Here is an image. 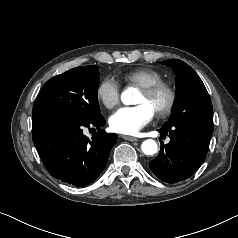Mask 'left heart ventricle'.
<instances>
[{
    "instance_id": "obj_1",
    "label": "left heart ventricle",
    "mask_w": 238,
    "mask_h": 238,
    "mask_svg": "<svg viewBox=\"0 0 238 238\" xmlns=\"http://www.w3.org/2000/svg\"><path fill=\"white\" fill-rule=\"evenodd\" d=\"M164 102H165L164 94H159L154 98H150L146 96L142 91H140L136 103L138 104L147 103L155 110L157 107L161 106Z\"/></svg>"
}]
</instances>
